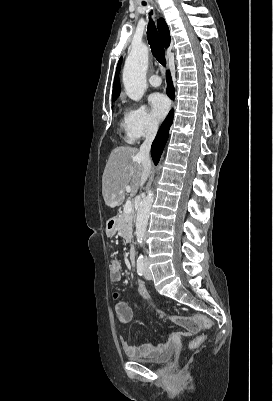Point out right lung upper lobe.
Returning <instances> with one entry per match:
<instances>
[{"mask_svg":"<svg viewBox=\"0 0 273 401\" xmlns=\"http://www.w3.org/2000/svg\"><path fill=\"white\" fill-rule=\"evenodd\" d=\"M158 30L162 39V42L165 46V48L169 47L170 45V32L169 28L166 24V22L163 19H160L158 21ZM122 58H120L116 73H115V78H114V84H113V94H112V100L116 99L120 93V86H119V70H120V65H121Z\"/></svg>","mask_w":273,"mask_h":401,"instance_id":"obj_1","label":"right lung upper lobe"}]
</instances>
